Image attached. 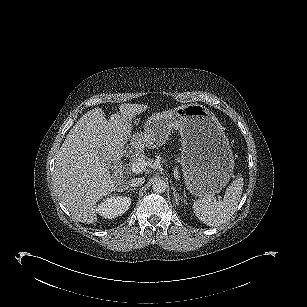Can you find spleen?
Here are the masks:
<instances>
[{
  "mask_svg": "<svg viewBox=\"0 0 307 307\" xmlns=\"http://www.w3.org/2000/svg\"><path fill=\"white\" fill-rule=\"evenodd\" d=\"M243 178H237L226 188L223 200L217 201L213 194L200 196L193 204L196 217L204 224L218 227L235 213L243 191Z\"/></svg>",
  "mask_w": 307,
  "mask_h": 307,
  "instance_id": "1",
  "label": "spleen"
}]
</instances>
